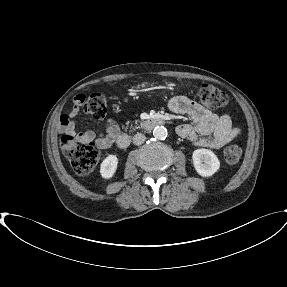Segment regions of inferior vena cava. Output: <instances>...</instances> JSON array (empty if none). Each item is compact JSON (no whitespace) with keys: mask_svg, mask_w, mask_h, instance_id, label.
I'll use <instances>...</instances> for the list:
<instances>
[{"mask_svg":"<svg viewBox=\"0 0 287 287\" xmlns=\"http://www.w3.org/2000/svg\"><path fill=\"white\" fill-rule=\"evenodd\" d=\"M145 140H146V136L144 134L137 133L133 137V144L134 145H141L145 142Z\"/></svg>","mask_w":287,"mask_h":287,"instance_id":"602c4592","label":"inferior vena cava"}]
</instances>
